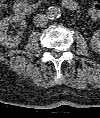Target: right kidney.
I'll use <instances>...</instances> for the list:
<instances>
[{
    "mask_svg": "<svg viewBox=\"0 0 100 118\" xmlns=\"http://www.w3.org/2000/svg\"><path fill=\"white\" fill-rule=\"evenodd\" d=\"M24 22V18L17 15L3 18L0 21V44L8 48L16 47L20 42L19 36L7 35V30L12 23L23 24Z\"/></svg>",
    "mask_w": 100,
    "mask_h": 118,
    "instance_id": "obj_1",
    "label": "right kidney"
}]
</instances>
